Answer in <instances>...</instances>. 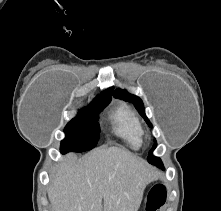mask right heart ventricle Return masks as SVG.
<instances>
[{
  "mask_svg": "<svg viewBox=\"0 0 221 211\" xmlns=\"http://www.w3.org/2000/svg\"><path fill=\"white\" fill-rule=\"evenodd\" d=\"M114 133L133 148L143 143V128L137 113L126 104H120L112 114Z\"/></svg>",
  "mask_w": 221,
  "mask_h": 211,
  "instance_id": "right-heart-ventricle-1",
  "label": "right heart ventricle"
}]
</instances>
